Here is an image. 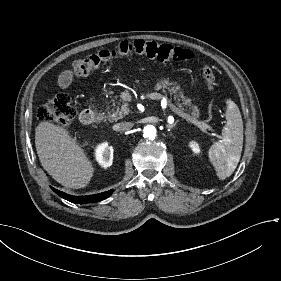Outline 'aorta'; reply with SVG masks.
Wrapping results in <instances>:
<instances>
[{
  "label": "aorta",
  "mask_w": 281,
  "mask_h": 281,
  "mask_svg": "<svg viewBox=\"0 0 281 281\" xmlns=\"http://www.w3.org/2000/svg\"><path fill=\"white\" fill-rule=\"evenodd\" d=\"M144 137L154 140L156 137V129L153 125H147L143 129Z\"/></svg>",
  "instance_id": "obj_1"
}]
</instances>
